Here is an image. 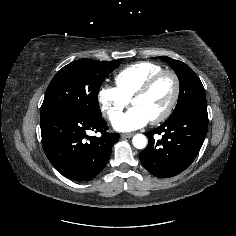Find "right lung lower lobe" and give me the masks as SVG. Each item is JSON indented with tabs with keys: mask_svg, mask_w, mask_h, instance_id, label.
Segmentation results:
<instances>
[{
	"mask_svg": "<svg viewBox=\"0 0 236 236\" xmlns=\"http://www.w3.org/2000/svg\"><path fill=\"white\" fill-rule=\"evenodd\" d=\"M42 146L51 164L75 181H89L107 164L119 134L108 133L102 117L61 109L40 117ZM92 130L101 137L88 136Z\"/></svg>",
	"mask_w": 236,
	"mask_h": 236,
	"instance_id": "1",
	"label": "right lung lower lobe"
}]
</instances>
